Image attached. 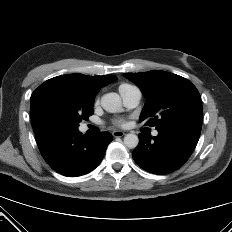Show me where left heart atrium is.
Instances as JSON below:
<instances>
[{
	"label": "left heart atrium",
	"mask_w": 232,
	"mask_h": 232,
	"mask_svg": "<svg viewBox=\"0 0 232 232\" xmlns=\"http://www.w3.org/2000/svg\"><path fill=\"white\" fill-rule=\"evenodd\" d=\"M118 125H125V122L123 120H119L116 122Z\"/></svg>",
	"instance_id": "left-heart-atrium-1"
}]
</instances>
